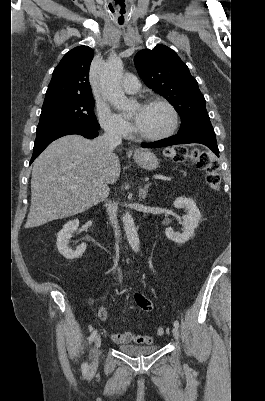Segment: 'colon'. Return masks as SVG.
I'll return each instance as SVG.
<instances>
[{
	"instance_id": "5ec220e1",
	"label": "colon",
	"mask_w": 265,
	"mask_h": 401,
	"mask_svg": "<svg viewBox=\"0 0 265 401\" xmlns=\"http://www.w3.org/2000/svg\"><path fill=\"white\" fill-rule=\"evenodd\" d=\"M165 156L172 161H184L191 157L196 163L197 167L206 172V182L211 190L217 191L221 185V175L218 166L210 159L208 153L200 150L189 151L185 147H170L166 149ZM142 308H147L142 306ZM165 334L163 327H158L157 335L162 336Z\"/></svg>"
}]
</instances>
